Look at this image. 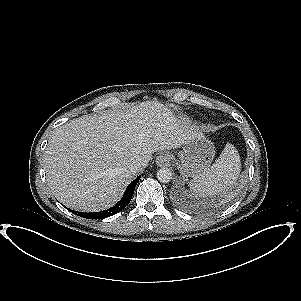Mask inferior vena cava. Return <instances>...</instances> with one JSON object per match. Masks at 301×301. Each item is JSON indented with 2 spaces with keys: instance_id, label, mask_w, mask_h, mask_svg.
<instances>
[{
  "instance_id": "1",
  "label": "inferior vena cava",
  "mask_w": 301,
  "mask_h": 301,
  "mask_svg": "<svg viewBox=\"0 0 301 301\" xmlns=\"http://www.w3.org/2000/svg\"><path fill=\"white\" fill-rule=\"evenodd\" d=\"M145 167H146L145 162L134 163L130 166V171L133 172V173H137V172L143 170Z\"/></svg>"
}]
</instances>
